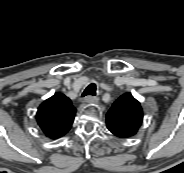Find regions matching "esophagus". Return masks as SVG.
Masks as SVG:
<instances>
[{"label":"esophagus","mask_w":184,"mask_h":173,"mask_svg":"<svg viewBox=\"0 0 184 173\" xmlns=\"http://www.w3.org/2000/svg\"><path fill=\"white\" fill-rule=\"evenodd\" d=\"M98 100H99L98 97H95V96H86L83 99V102L84 103H89V104H94V103H97Z\"/></svg>","instance_id":"obj_1"}]
</instances>
